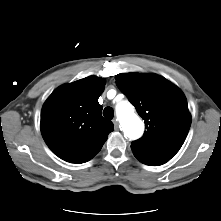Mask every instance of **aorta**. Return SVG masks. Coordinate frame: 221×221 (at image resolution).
Segmentation results:
<instances>
[{"label": "aorta", "mask_w": 221, "mask_h": 221, "mask_svg": "<svg viewBox=\"0 0 221 221\" xmlns=\"http://www.w3.org/2000/svg\"><path fill=\"white\" fill-rule=\"evenodd\" d=\"M117 118L124 130L125 136L136 140L144 131V124L135 114L133 106L129 102H121L116 106Z\"/></svg>", "instance_id": "aorta-1"}]
</instances>
